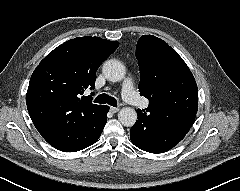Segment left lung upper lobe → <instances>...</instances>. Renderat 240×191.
I'll list each match as a JSON object with an SVG mask.
<instances>
[{
    "instance_id": "5c2ea615",
    "label": "left lung upper lobe",
    "mask_w": 240,
    "mask_h": 191,
    "mask_svg": "<svg viewBox=\"0 0 240 191\" xmlns=\"http://www.w3.org/2000/svg\"><path fill=\"white\" fill-rule=\"evenodd\" d=\"M140 94L149 99L148 112L158 121L191 127L197 113L195 79L178 53L152 35L140 37L136 48Z\"/></svg>"
}]
</instances>
